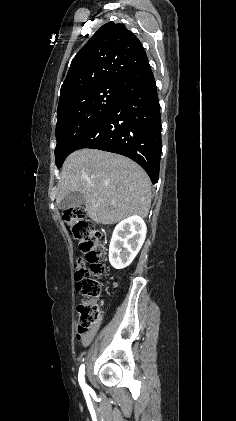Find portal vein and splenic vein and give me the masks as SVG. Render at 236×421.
Listing matches in <instances>:
<instances>
[{
	"instance_id": "18ae733b",
	"label": "portal vein and splenic vein",
	"mask_w": 236,
	"mask_h": 421,
	"mask_svg": "<svg viewBox=\"0 0 236 421\" xmlns=\"http://www.w3.org/2000/svg\"><path fill=\"white\" fill-rule=\"evenodd\" d=\"M89 186H93V184H89ZM126 200H128V198H126Z\"/></svg>"
}]
</instances>
